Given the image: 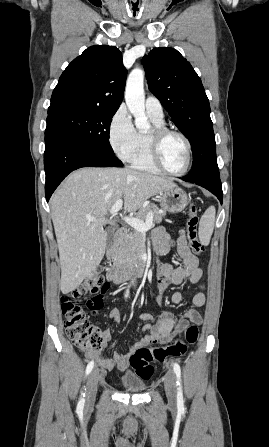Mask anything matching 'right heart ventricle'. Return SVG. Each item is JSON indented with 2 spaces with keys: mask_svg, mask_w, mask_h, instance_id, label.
Instances as JSON below:
<instances>
[{
  "mask_svg": "<svg viewBox=\"0 0 269 447\" xmlns=\"http://www.w3.org/2000/svg\"><path fill=\"white\" fill-rule=\"evenodd\" d=\"M149 116L154 126L159 127L164 126L163 119L159 120L151 115ZM148 133L149 132H144L141 130L137 131L134 151L130 156L129 161L133 168L146 171L160 172L161 170L152 162L150 158L149 146H148Z\"/></svg>",
  "mask_w": 269,
  "mask_h": 447,
  "instance_id": "1",
  "label": "right heart ventricle"
}]
</instances>
